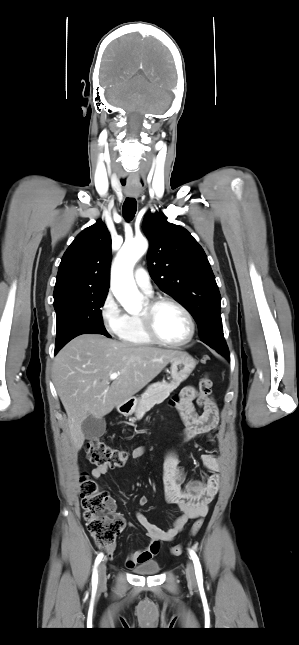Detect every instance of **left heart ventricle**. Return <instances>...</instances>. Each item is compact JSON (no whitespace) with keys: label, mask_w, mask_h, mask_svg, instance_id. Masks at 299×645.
I'll return each instance as SVG.
<instances>
[{"label":"left heart ventricle","mask_w":299,"mask_h":645,"mask_svg":"<svg viewBox=\"0 0 299 645\" xmlns=\"http://www.w3.org/2000/svg\"><path fill=\"white\" fill-rule=\"evenodd\" d=\"M157 333L169 341L184 339L189 332L185 315L175 306L164 304L158 307L154 316Z\"/></svg>","instance_id":"obj_1"}]
</instances>
